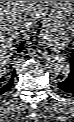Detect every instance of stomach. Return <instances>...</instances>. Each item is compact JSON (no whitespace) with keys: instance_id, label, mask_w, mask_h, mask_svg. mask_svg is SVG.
Listing matches in <instances>:
<instances>
[{"instance_id":"0dacf381","label":"stomach","mask_w":74,"mask_h":122,"mask_svg":"<svg viewBox=\"0 0 74 122\" xmlns=\"http://www.w3.org/2000/svg\"><path fill=\"white\" fill-rule=\"evenodd\" d=\"M58 5L54 6L49 20L56 23H66L73 17V1H57Z\"/></svg>"}]
</instances>
